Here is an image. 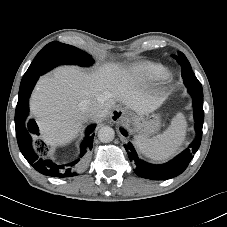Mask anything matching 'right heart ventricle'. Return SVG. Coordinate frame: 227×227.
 <instances>
[{"mask_svg":"<svg viewBox=\"0 0 227 227\" xmlns=\"http://www.w3.org/2000/svg\"><path fill=\"white\" fill-rule=\"evenodd\" d=\"M140 76L147 80H158L166 74V68L158 63L145 62L138 66Z\"/></svg>","mask_w":227,"mask_h":227,"instance_id":"1","label":"right heart ventricle"}]
</instances>
